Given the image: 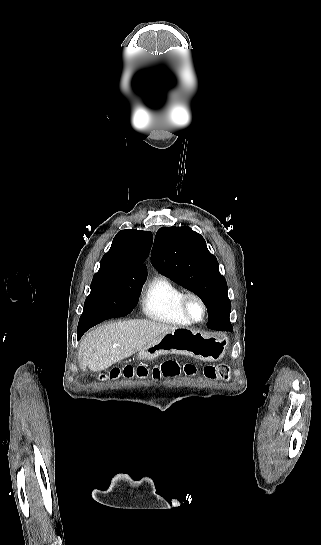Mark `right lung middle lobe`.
I'll list each match as a JSON object with an SVG mask.
<instances>
[{"label": "right lung middle lobe", "instance_id": "right-lung-middle-lobe-1", "mask_svg": "<svg viewBox=\"0 0 321 545\" xmlns=\"http://www.w3.org/2000/svg\"><path fill=\"white\" fill-rule=\"evenodd\" d=\"M142 284H122L111 280L107 275L95 274L91 283L90 295L85 300L84 310L79 322H90L101 317V310L112 299L121 295L139 296Z\"/></svg>", "mask_w": 321, "mask_h": 545}]
</instances>
